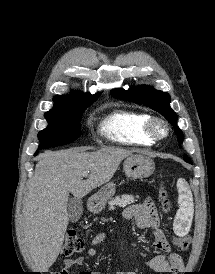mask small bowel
<instances>
[{
  "mask_svg": "<svg viewBox=\"0 0 215 274\" xmlns=\"http://www.w3.org/2000/svg\"><path fill=\"white\" fill-rule=\"evenodd\" d=\"M123 218L125 220H132L141 229H151L154 235V247L157 250L164 252L165 254H159L150 259L146 265L153 272L159 274H167L172 272H180L184 268L182 258L171 252L169 242L166 239L164 232L160 227V219L157 211L153 207L149 200L144 201L141 204H136L128 207L124 213ZM106 238L104 231L99 232L89 244V248L86 251L87 256L95 257L98 253L96 247L102 243ZM85 261L82 256L76 258H68L64 261V269L62 274H70L69 270L75 266H81ZM79 274H103L95 271H81ZM115 274H136L132 271L116 272Z\"/></svg>",
  "mask_w": 215,
  "mask_h": 274,
  "instance_id": "1",
  "label": "small bowel"
}]
</instances>
